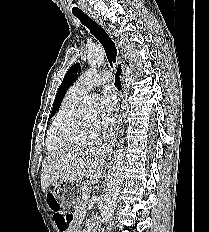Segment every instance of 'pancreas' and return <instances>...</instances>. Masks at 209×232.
<instances>
[{"mask_svg":"<svg viewBox=\"0 0 209 232\" xmlns=\"http://www.w3.org/2000/svg\"><path fill=\"white\" fill-rule=\"evenodd\" d=\"M89 189H90V186L88 184H83L80 188L82 194L88 193Z\"/></svg>","mask_w":209,"mask_h":232,"instance_id":"cf45deb5","label":"pancreas"}]
</instances>
